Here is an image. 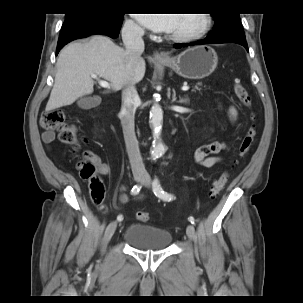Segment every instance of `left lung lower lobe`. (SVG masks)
I'll return each instance as SVG.
<instances>
[{
  "mask_svg": "<svg viewBox=\"0 0 303 303\" xmlns=\"http://www.w3.org/2000/svg\"><path fill=\"white\" fill-rule=\"evenodd\" d=\"M238 43L246 48L248 51V45L246 42L245 37H215V38H205L204 40L193 42V43H183V44H175L174 47L176 49L187 47V46H193L198 44H210V43Z\"/></svg>",
  "mask_w": 303,
  "mask_h": 303,
  "instance_id": "left-lung-lower-lobe-1",
  "label": "left lung lower lobe"
}]
</instances>
